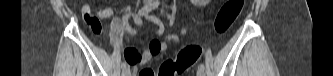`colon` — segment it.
Masks as SVG:
<instances>
[{
    "label": "colon",
    "mask_w": 333,
    "mask_h": 76,
    "mask_svg": "<svg viewBox=\"0 0 333 76\" xmlns=\"http://www.w3.org/2000/svg\"><path fill=\"white\" fill-rule=\"evenodd\" d=\"M244 0H227L218 11L214 29L219 35L225 34L234 24L244 7ZM202 54V48L196 44L185 46L176 57L163 61L158 70V76H176L194 66ZM151 68L142 69L139 76H154Z\"/></svg>",
    "instance_id": "colon-1"
}]
</instances>
